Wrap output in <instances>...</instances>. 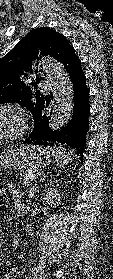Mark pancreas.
Masks as SVG:
<instances>
[{
    "mask_svg": "<svg viewBox=\"0 0 113 279\" xmlns=\"http://www.w3.org/2000/svg\"><path fill=\"white\" fill-rule=\"evenodd\" d=\"M39 175H40L39 173H35V172H30L25 174L22 179L23 187L32 184L38 178Z\"/></svg>",
    "mask_w": 113,
    "mask_h": 279,
    "instance_id": "cf45deb5",
    "label": "pancreas"
}]
</instances>
